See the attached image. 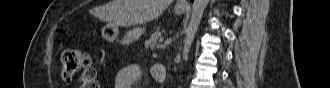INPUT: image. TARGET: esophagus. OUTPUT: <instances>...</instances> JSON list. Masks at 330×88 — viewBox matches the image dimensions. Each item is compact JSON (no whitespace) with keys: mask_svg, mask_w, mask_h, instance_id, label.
I'll list each match as a JSON object with an SVG mask.
<instances>
[{"mask_svg":"<svg viewBox=\"0 0 330 88\" xmlns=\"http://www.w3.org/2000/svg\"><path fill=\"white\" fill-rule=\"evenodd\" d=\"M178 4H179V5H184V6H186V5H187V2H186L185 0H180V1L178 2Z\"/></svg>","mask_w":330,"mask_h":88,"instance_id":"1","label":"esophagus"}]
</instances>
